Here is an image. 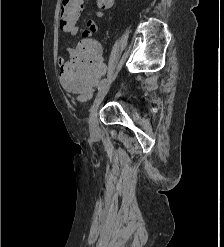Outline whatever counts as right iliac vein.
Listing matches in <instances>:
<instances>
[{
  "mask_svg": "<svg viewBox=\"0 0 224 247\" xmlns=\"http://www.w3.org/2000/svg\"><path fill=\"white\" fill-rule=\"evenodd\" d=\"M109 88H110V85H106L99 91L90 109L89 128H90V131L94 134L98 132L97 111H98V108L101 102L103 101L106 94L108 93Z\"/></svg>",
  "mask_w": 224,
  "mask_h": 247,
  "instance_id": "1",
  "label": "right iliac vein"
}]
</instances>
